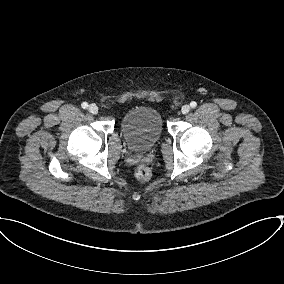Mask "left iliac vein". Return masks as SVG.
<instances>
[{
	"instance_id": "left-iliac-vein-1",
	"label": "left iliac vein",
	"mask_w": 284,
	"mask_h": 284,
	"mask_svg": "<svg viewBox=\"0 0 284 284\" xmlns=\"http://www.w3.org/2000/svg\"><path fill=\"white\" fill-rule=\"evenodd\" d=\"M189 111H190V106L189 105L185 104V105L182 106L181 112L183 114H187Z\"/></svg>"
}]
</instances>
